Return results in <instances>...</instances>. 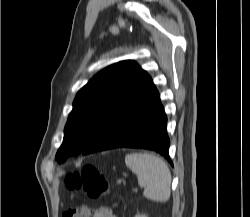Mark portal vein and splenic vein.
I'll return each instance as SVG.
<instances>
[{
	"label": "portal vein and splenic vein",
	"mask_w": 250,
	"mask_h": 217,
	"mask_svg": "<svg viewBox=\"0 0 250 217\" xmlns=\"http://www.w3.org/2000/svg\"><path fill=\"white\" fill-rule=\"evenodd\" d=\"M134 191L137 192V188H134Z\"/></svg>",
	"instance_id": "1"
}]
</instances>
